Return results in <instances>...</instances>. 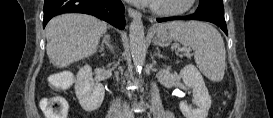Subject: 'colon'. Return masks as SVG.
Returning a JSON list of instances; mask_svg holds the SVG:
<instances>
[{
  "instance_id": "colon-1",
  "label": "colon",
  "mask_w": 273,
  "mask_h": 118,
  "mask_svg": "<svg viewBox=\"0 0 273 118\" xmlns=\"http://www.w3.org/2000/svg\"><path fill=\"white\" fill-rule=\"evenodd\" d=\"M52 84L57 88H63L68 84L67 80L58 79L53 77L51 79ZM40 107L47 118H65L67 112V104L63 97L61 96H52L44 98Z\"/></svg>"
}]
</instances>
